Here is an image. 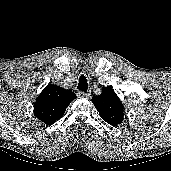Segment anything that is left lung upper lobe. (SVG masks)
Returning <instances> with one entry per match:
<instances>
[{
    "instance_id": "5c2ea615",
    "label": "left lung upper lobe",
    "mask_w": 171,
    "mask_h": 171,
    "mask_svg": "<svg viewBox=\"0 0 171 171\" xmlns=\"http://www.w3.org/2000/svg\"><path fill=\"white\" fill-rule=\"evenodd\" d=\"M92 102L100 117L108 124L116 126L123 121V104L111 86L105 87L100 95H94Z\"/></svg>"
}]
</instances>
